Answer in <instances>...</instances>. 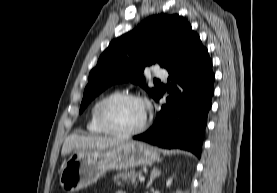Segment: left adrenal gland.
Masks as SVG:
<instances>
[{
  "mask_svg": "<svg viewBox=\"0 0 277 193\" xmlns=\"http://www.w3.org/2000/svg\"><path fill=\"white\" fill-rule=\"evenodd\" d=\"M160 174H161V170H158L157 167H154V168L151 170L150 180H149V182H148L146 188H149V187L152 185L153 180H154L156 177L160 176Z\"/></svg>",
  "mask_w": 277,
  "mask_h": 193,
  "instance_id": "1",
  "label": "left adrenal gland"
}]
</instances>
